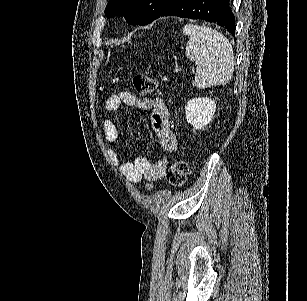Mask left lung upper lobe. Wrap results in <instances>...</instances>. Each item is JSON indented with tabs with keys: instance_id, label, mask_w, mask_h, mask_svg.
Segmentation results:
<instances>
[{
	"instance_id": "obj_1",
	"label": "left lung upper lobe",
	"mask_w": 307,
	"mask_h": 301,
	"mask_svg": "<svg viewBox=\"0 0 307 301\" xmlns=\"http://www.w3.org/2000/svg\"><path fill=\"white\" fill-rule=\"evenodd\" d=\"M175 0H109L106 16H124L129 24L146 25L157 19Z\"/></svg>"
}]
</instances>
